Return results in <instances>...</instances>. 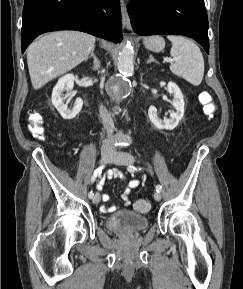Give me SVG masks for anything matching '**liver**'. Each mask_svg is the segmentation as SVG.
Instances as JSON below:
<instances>
[{"label":"liver","instance_id":"6515ba94","mask_svg":"<svg viewBox=\"0 0 243 289\" xmlns=\"http://www.w3.org/2000/svg\"><path fill=\"white\" fill-rule=\"evenodd\" d=\"M95 37L80 31L64 30L48 33L31 43L27 64L34 89L83 62L95 47Z\"/></svg>","mask_w":243,"mask_h":289}]
</instances>
